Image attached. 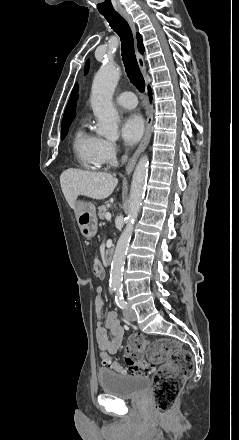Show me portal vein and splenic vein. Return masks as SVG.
I'll return each mask as SVG.
<instances>
[{
    "label": "portal vein and splenic vein",
    "instance_id": "obj_1",
    "mask_svg": "<svg viewBox=\"0 0 239 440\" xmlns=\"http://www.w3.org/2000/svg\"><path fill=\"white\" fill-rule=\"evenodd\" d=\"M106 220H111V214H109V212H106Z\"/></svg>",
    "mask_w": 239,
    "mask_h": 440
}]
</instances>
